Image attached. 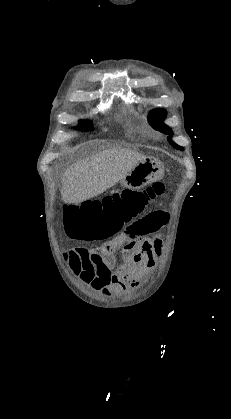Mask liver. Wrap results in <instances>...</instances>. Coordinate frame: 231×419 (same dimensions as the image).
<instances>
[{"label":"liver","instance_id":"6515ba94","mask_svg":"<svg viewBox=\"0 0 231 419\" xmlns=\"http://www.w3.org/2000/svg\"><path fill=\"white\" fill-rule=\"evenodd\" d=\"M144 155L128 149H108L72 165L62 178V200L67 204L100 195L118 183Z\"/></svg>","mask_w":231,"mask_h":419}]
</instances>
